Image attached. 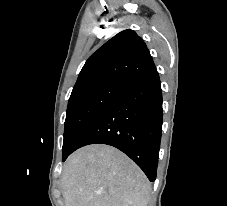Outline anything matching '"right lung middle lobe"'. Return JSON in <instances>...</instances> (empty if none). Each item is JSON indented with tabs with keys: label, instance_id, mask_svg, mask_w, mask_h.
Returning a JSON list of instances; mask_svg holds the SVG:
<instances>
[{
	"label": "right lung middle lobe",
	"instance_id": "obj_1",
	"mask_svg": "<svg viewBox=\"0 0 227 206\" xmlns=\"http://www.w3.org/2000/svg\"><path fill=\"white\" fill-rule=\"evenodd\" d=\"M127 83L123 80L108 79L72 92L65 120L63 161L71 154L91 123L125 91Z\"/></svg>",
	"mask_w": 227,
	"mask_h": 206
}]
</instances>
